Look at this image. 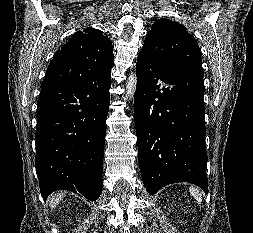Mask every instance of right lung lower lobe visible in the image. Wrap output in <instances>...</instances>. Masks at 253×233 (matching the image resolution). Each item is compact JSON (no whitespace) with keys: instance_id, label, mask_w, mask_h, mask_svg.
<instances>
[{"instance_id":"1","label":"right lung lower lobe","mask_w":253,"mask_h":233,"mask_svg":"<svg viewBox=\"0 0 253 233\" xmlns=\"http://www.w3.org/2000/svg\"><path fill=\"white\" fill-rule=\"evenodd\" d=\"M110 85L111 70L41 87L35 166L44 200L56 190L99 198Z\"/></svg>"}]
</instances>
